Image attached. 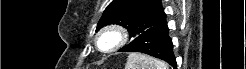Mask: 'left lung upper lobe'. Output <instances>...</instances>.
<instances>
[{
	"mask_svg": "<svg viewBox=\"0 0 246 69\" xmlns=\"http://www.w3.org/2000/svg\"><path fill=\"white\" fill-rule=\"evenodd\" d=\"M165 22L161 0H113L105 9L96 31L109 24H118L128 29L130 37L136 38Z\"/></svg>",
	"mask_w": 246,
	"mask_h": 69,
	"instance_id": "1",
	"label": "left lung upper lobe"
}]
</instances>
